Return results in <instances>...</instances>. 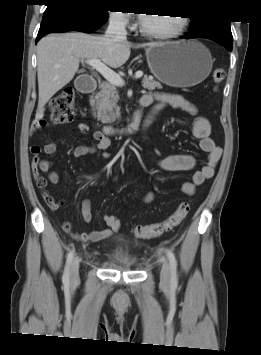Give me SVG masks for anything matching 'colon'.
<instances>
[{"label": "colon", "instance_id": "colon-1", "mask_svg": "<svg viewBox=\"0 0 261 355\" xmlns=\"http://www.w3.org/2000/svg\"><path fill=\"white\" fill-rule=\"evenodd\" d=\"M224 78V69L217 68L214 70L213 81L215 88H218ZM74 106V92L72 88L65 87L61 89L50 101L49 121L52 124H65L73 121L75 116ZM37 123L41 127L46 125L45 120H38ZM189 211L190 204L188 202H182L164 221L147 225H136L133 228V233L136 237L144 239L159 237L179 226Z\"/></svg>", "mask_w": 261, "mask_h": 355}]
</instances>
